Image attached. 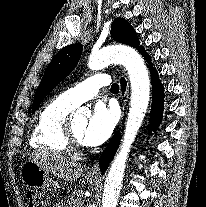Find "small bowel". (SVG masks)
Masks as SVG:
<instances>
[{
    "instance_id": "c3829d8e",
    "label": "small bowel",
    "mask_w": 206,
    "mask_h": 207,
    "mask_svg": "<svg viewBox=\"0 0 206 207\" xmlns=\"http://www.w3.org/2000/svg\"><path fill=\"white\" fill-rule=\"evenodd\" d=\"M55 207H66L64 204H57Z\"/></svg>"
}]
</instances>
